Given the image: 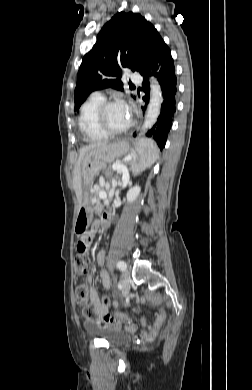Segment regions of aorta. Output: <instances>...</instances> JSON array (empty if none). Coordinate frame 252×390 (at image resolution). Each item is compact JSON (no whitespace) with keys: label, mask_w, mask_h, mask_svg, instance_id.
<instances>
[{"label":"aorta","mask_w":252,"mask_h":390,"mask_svg":"<svg viewBox=\"0 0 252 390\" xmlns=\"http://www.w3.org/2000/svg\"><path fill=\"white\" fill-rule=\"evenodd\" d=\"M162 90L156 79L151 78L150 85V100L147 107L145 120L141 128V133L147 132L157 121L160 115L161 104H162Z\"/></svg>","instance_id":"762f6f07"}]
</instances>
